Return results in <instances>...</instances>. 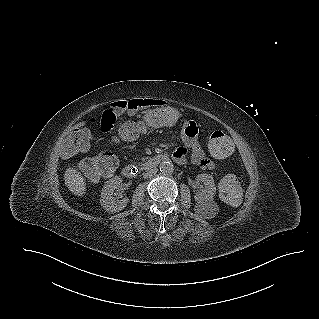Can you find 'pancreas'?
Listing matches in <instances>:
<instances>
[{
	"mask_svg": "<svg viewBox=\"0 0 319 319\" xmlns=\"http://www.w3.org/2000/svg\"><path fill=\"white\" fill-rule=\"evenodd\" d=\"M148 158H142V161H146ZM144 166V164H142Z\"/></svg>",
	"mask_w": 319,
	"mask_h": 319,
	"instance_id": "pancreas-1",
	"label": "pancreas"
}]
</instances>
